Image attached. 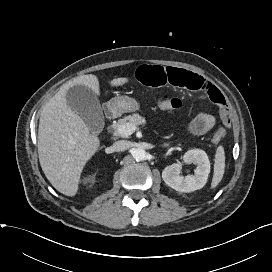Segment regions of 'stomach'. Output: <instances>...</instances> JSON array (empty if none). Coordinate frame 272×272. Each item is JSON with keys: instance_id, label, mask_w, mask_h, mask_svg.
<instances>
[{"instance_id": "1", "label": "stomach", "mask_w": 272, "mask_h": 272, "mask_svg": "<svg viewBox=\"0 0 272 272\" xmlns=\"http://www.w3.org/2000/svg\"><path fill=\"white\" fill-rule=\"evenodd\" d=\"M108 107L113 113L121 114L139 110L140 104L133 98L118 96L110 100Z\"/></svg>"}]
</instances>
